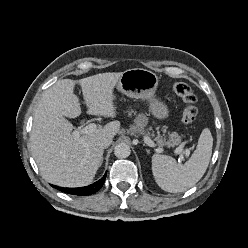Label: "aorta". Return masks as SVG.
Masks as SVG:
<instances>
[{"label":"aorta","mask_w":248,"mask_h":248,"mask_svg":"<svg viewBox=\"0 0 248 248\" xmlns=\"http://www.w3.org/2000/svg\"><path fill=\"white\" fill-rule=\"evenodd\" d=\"M131 153L130 147L127 143L121 142L114 148V154L118 158H127Z\"/></svg>","instance_id":"762f6f07"}]
</instances>
